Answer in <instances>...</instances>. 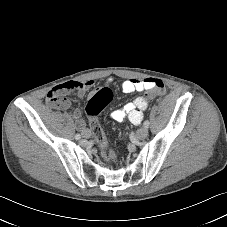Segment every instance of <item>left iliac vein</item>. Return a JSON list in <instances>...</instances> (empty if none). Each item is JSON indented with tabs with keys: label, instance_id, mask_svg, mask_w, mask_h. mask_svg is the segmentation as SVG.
<instances>
[{
	"label": "left iliac vein",
	"instance_id": "obj_1",
	"mask_svg": "<svg viewBox=\"0 0 227 227\" xmlns=\"http://www.w3.org/2000/svg\"><path fill=\"white\" fill-rule=\"evenodd\" d=\"M139 140H144L148 136V129L146 127H141L136 134Z\"/></svg>",
	"mask_w": 227,
	"mask_h": 227
}]
</instances>
